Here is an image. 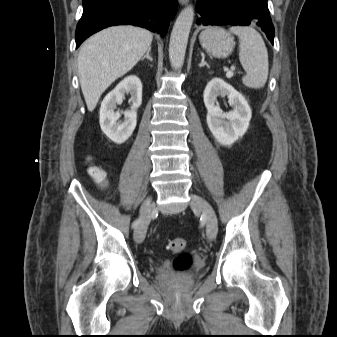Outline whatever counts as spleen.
Returning a JSON list of instances; mask_svg holds the SVG:
<instances>
[{
	"mask_svg": "<svg viewBox=\"0 0 337 337\" xmlns=\"http://www.w3.org/2000/svg\"><path fill=\"white\" fill-rule=\"evenodd\" d=\"M239 38V59L246 75L245 86L253 89L264 87L269 71L268 52L261 35L251 26H233L229 29Z\"/></svg>",
	"mask_w": 337,
	"mask_h": 337,
	"instance_id": "3e777b00",
	"label": "spleen"
}]
</instances>
